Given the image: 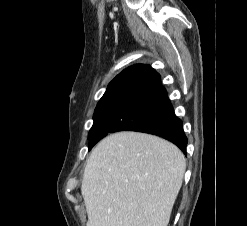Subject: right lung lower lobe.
<instances>
[{
	"label": "right lung lower lobe",
	"mask_w": 247,
	"mask_h": 226,
	"mask_svg": "<svg viewBox=\"0 0 247 226\" xmlns=\"http://www.w3.org/2000/svg\"><path fill=\"white\" fill-rule=\"evenodd\" d=\"M123 130L157 135L186 153L182 121L174 113L160 75L151 66L137 64L119 74L93 129L89 150L108 133Z\"/></svg>",
	"instance_id": "obj_1"
}]
</instances>
